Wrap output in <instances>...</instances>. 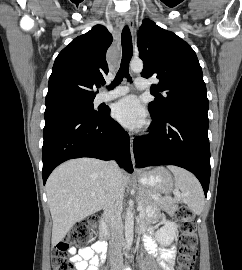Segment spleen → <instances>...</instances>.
I'll return each mask as SVG.
<instances>
[{
	"instance_id": "spleen-1",
	"label": "spleen",
	"mask_w": 242,
	"mask_h": 270,
	"mask_svg": "<svg viewBox=\"0 0 242 270\" xmlns=\"http://www.w3.org/2000/svg\"><path fill=\"white\" fill-rule=\"evenodd\" d=\"M169 170L174 175L175 187L181 191L175 198L165 197L166 202L185 203L195 214H200L204 208V193L199 181L185 169L170 166Z\"/></svg>"
}]
</instances>
